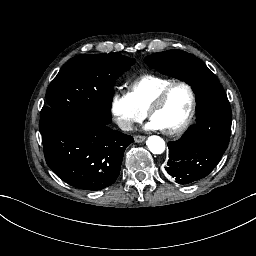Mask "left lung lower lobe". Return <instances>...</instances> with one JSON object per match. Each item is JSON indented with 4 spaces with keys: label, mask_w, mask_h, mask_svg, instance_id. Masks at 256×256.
<instances>
[{
    "label": "left lung lower lobe",
    "mask_w": 256,
    "mask_h": 256,
    "mask_svg": "<svg viewBox=\"0 0 256 256\" xmlns=\"http://www.w3.org/2000/svg\"><path fill=\"white\" fill-rule=\"evenodd\" d=\"M169 175L174 177L176 179V182L180 184H189L201 178L206 177V176L175 175L173 173H169Z\"/></svg>",
    "instance_id": "obj_1"
}]
</instances>
